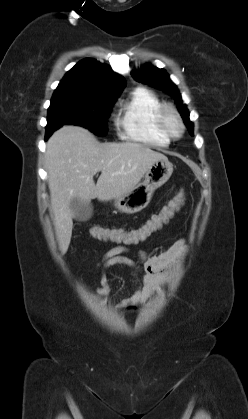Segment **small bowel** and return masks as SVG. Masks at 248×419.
<instances>
[{"instance_id":"c3829d8e","label":"small bowel","mask_w":248,"mask_h":419,"mask_svg":"<svg viewBox=\"0 0 248 419\" xmlns=\"http://www.w3.org/2000/svg\"><path fill=\"white\" fill-rule=\"evenodd\" d=\"M144 226L145 224L133 230H122L127 235L134 237L133 240L123 243L135 244L147 239L153 232L137 236V234L144 229ZM129 251L130 249L127 245H119L105 253L99 264L101 269V284L97 288L99 294L107 295L110 291L106 275V271L109 268L116 265H125L137 272L140 271V267L133 260L125 256ZM186 253L187 244L185 239L177 240L166 251L158 255L147 256L146 253L142 251L137 252V255L141 259L142 283L131 297L121 300L116 307L134 308L144 304L152 294L159 293L162 287L173 277L177 266L184 259Z\"/></svg>"}]
</instances>
